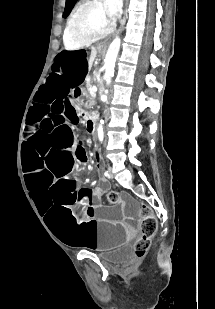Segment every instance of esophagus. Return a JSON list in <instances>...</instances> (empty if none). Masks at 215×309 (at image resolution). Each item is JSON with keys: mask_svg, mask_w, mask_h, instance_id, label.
Returning <instances> with one entry per match:
<instances>
[{"mask_svg": "<svg viewBox=\"0 0 215 309\" xmlns=\"http://www.w3.org/2000/svg\"><path fill=\"white\" fill-rule=\"evenodd\" d=\"M123 20H125V17L123 18ZM123 24H124V23L121 24V27H120L119 31L122 30ZM108 43H109V41H108V40H105L104 42H102L101 44H99V46H100V47H105Z\"/></svg>", "mask_w": 215, "mask_h": 309, "instance_id": "obj_1", "label": "esophagus"}]
</instances>
